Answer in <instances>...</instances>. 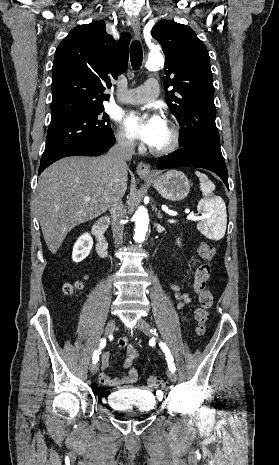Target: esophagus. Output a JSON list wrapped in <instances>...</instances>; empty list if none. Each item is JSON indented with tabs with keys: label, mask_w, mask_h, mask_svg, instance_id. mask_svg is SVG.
Listing matches in <instances>:
<instances>
[{
	"label": "esophagus",
	"mask_w": 279,
	"mask_h": 465,
	"mask_svg": "<svg viewBox=\"0 0 279 465\" xmlns=\"http://www.w3.org/2000/svg\"><path fill=\"white\" fill-rule=\"evenodd\" d=\"M131 27L136 37L140 38L141 37V23H140L139 18L133 17L131 19ZM136 171L138 175L141 177H148L152 175V170H151L150 165L144 162H140L137 165Z\"/></svg>",
	"instance_id": "obj_1"
}]
</instances>
